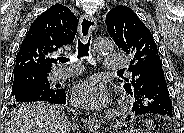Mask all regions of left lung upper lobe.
Returning <instances> with one entry per match:
<instances>
[{
  "instance_id": "1",
  "label": "left lung upper lobe",
  "mask_w": 184,
  "mask_h": 133,
  "mask_svg": "<svg viewBox=\"0 0 184 133\" xmlns=\"http://www.w3.org/2000/svg\"><path fill=\"white\" fill-rule=\"evenodd\" d=\"M105 23L118 48L132 57L129 66L132 78L125 79L129 83L124 85V89L130 94L141 88L148 77L155 73L156 68L151 69L150 64L154 56L159 58L157 45L150 30L127 6L111 9Z\"/></svg>"
}]
</instances>
